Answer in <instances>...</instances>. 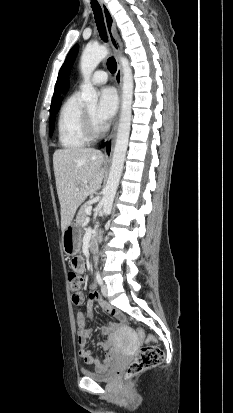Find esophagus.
<instances>
[{"mask_svg": "<svg viewBox=\"0 0 233 413\" xmlns=\"http://www.w3.org/2000/svg\"><path fill=\"white\" fill-rule=\"evenodd\" d=\"M99 3L101 6L103 15H104V21H105L109 41L115 52L116 62H117L115 84H116V87L119 93V111H118V116L116 118V121L112 127V130L110 131L109 135L106 138V145L104 149V159L105 161H110L112 158L113 148H114L118 124H119L120 105H121V99H122V66H121V62L119 59V56L122 52V45H121V41H120V38L116 30L115 20L107 4L105 3L104 0H99Z\"/></svg>", "mask_w": 233, "mask_h": 413, "instance_id": "esophagus-1", "label": "esophagus"}]
</instances>
